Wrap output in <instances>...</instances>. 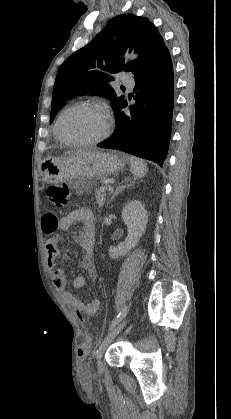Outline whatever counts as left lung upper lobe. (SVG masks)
<instances>
[{"mask_svg":"<svg viewBox=\"0 0 231 419\" xmlns=\"http://www.w3.org/2000/svg\"><path fill=\"white\" fill-rule=\"evenodd\" d=\"M140 58L125 62L127 51ZM168 51L156 26L147 18L121 14L109 20L106 27L86 46L69 56L59 67L55 80L50 122L66 100L79 94H95L112 101L116 112L125 101L117 97L109 82L111 74L129 71L134 78L146 71Z\"/></svg>","mask_w":231,"mask_h":419,"instance_id":"left-lung-upper-lobe-1","label":"left lung upper lobe"}]
</instances>
